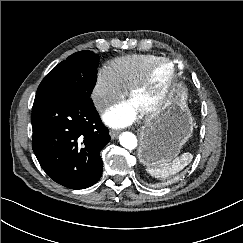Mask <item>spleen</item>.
Segmentation results:
<instances>
[{
    "label": "spleen",
    "instance_id": "spleen-1",
    "mask_svg": "<svg viewBox=\"0 0 243 243\" xmlns=\"http://www.w3.org/2000/svg\"><path fill=\"white\" fill-rule=\"evenodd\" d=\"M192 159L193 155L186 152L175 158L171 163H160L154 166H148L146 171L155 178L165 179L181 171Z\"/></svg>",
    "mask_w": 243,
    "mask_h": 243
}]
</instances>
